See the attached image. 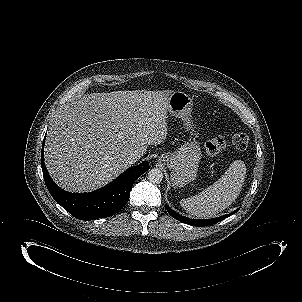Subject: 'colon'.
I'll return each mask as SVG.
<instances>
[{
    "instance_id": "colon-1",
    "label": "colon",
    "mask_w": 302,
    "mask_h": 302,
    "mask_svg": "<svg viewBox=\"0 0 302 302\" xmlns=\"http://www.w3.org/2000/svg\"><path fill=\"white\" fill-rule=\"evenodd\" d=\"M248 140V135L243 131L235 132L228 137L217 136L205 143V154L209 157L216 156L229 144L238 149H244Z\"/></svg>"
}]
</instances>
